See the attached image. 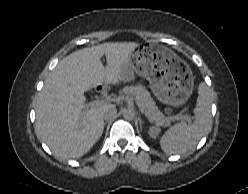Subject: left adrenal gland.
Returning <instances> with one entry per match:
<instances>
[{"mask_svg": "<svg viewBox=\"0 0 248 194\" xmlns=\"http://www.w3.org/2000/svg\"><path fill=\"white\" fill-rule=\"evenodd\" d=\"M140 125L142 124V120L139 118Z\"/></svg>", "mask_w": 248, "mask_h": 194, "instance_id": "1", "label": "left adrenal gland"}]
</instances>
